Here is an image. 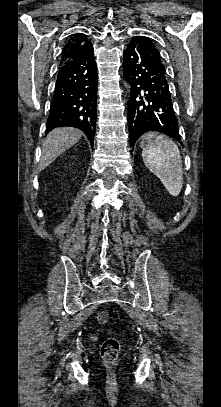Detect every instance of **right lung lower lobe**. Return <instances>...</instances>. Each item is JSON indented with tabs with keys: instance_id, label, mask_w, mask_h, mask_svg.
Segmentation results:
<instances>
[{
	"instance_id": "right-lung-lower-lobe-1",
	"label": "right lung lower lobe",
	"mask_w": 221,
	"mask_h": 407,
	"mask_svg": "<svg viewBox=\"0 0 221 407\" xmlns=\"http://www.w3.org/2000/svg\"><path fill=\"white\" fill-rule=\"evenodd\" d=\"M97 66L93 46L59 66L46 134L60 126L81 129L93 145L96 131Z\"/></svg>"
}]
</instances>
